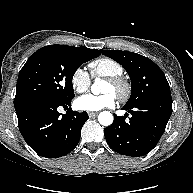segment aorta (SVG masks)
<instances>
[{"instance_id":"762f6f07","label":"aorta","mask_w":193,"mask_h":193,"mask_svg":"<svg viewBox=\"0 0 193 193\" xmlns=\"http://www.w3.org/2000/svg\"><path fill=\"white\" fill-rule=\"evenodd\" d=\"M100 81L96 79L94 84L91 86V91L94 95L100 93ZM98 121L103 126H110L113 122V115L108 111H103L98 116Z\"/></svg>"}]
</instances>
